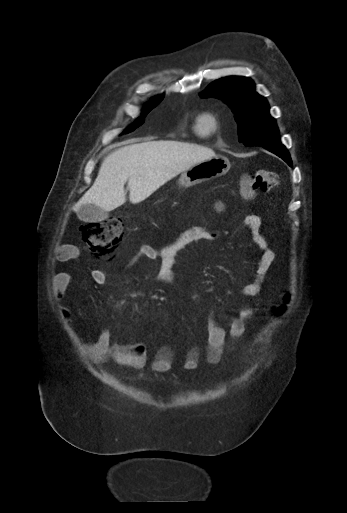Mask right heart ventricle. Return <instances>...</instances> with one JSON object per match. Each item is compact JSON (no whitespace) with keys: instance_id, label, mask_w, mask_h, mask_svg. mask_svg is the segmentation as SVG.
I'll return each mask as SVG.
<instances>
[{"instance_id":"1","label":"right heart ventricle","mask_w":347,"mask_h":513,"mask_svg":"<svg viewBox=\"0 0 347 513\" xmlns=\"http://www.w3.org/2000/svg\"><path fill=\"white\" fill-rule=\"evenodd\" d=\"M194 129H195V131H196L198 134H200V135H204V134L200 131V129H199L198 119L196 120V123H195V125H194Z\"/></svg>"}]
</instances>
